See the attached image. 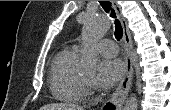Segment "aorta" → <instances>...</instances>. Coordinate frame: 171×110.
I'll return each instance as SVG.
<instances>
[{"label":"aorta","instance_id":"aorta-1","mask_svg":"<svg viewBox=\"0 0 171 110\" xmlns=\"http://www.w3.org/2000/svg\"><path fill=\"white\" fill-rule=\"evenodd\" d=\"M110 28V21L102 15L89 16L84 24L83 49L80 68L86 73H94L97 69L98 58L93 50V43L103 36ZM138 101L134 94L126 100L123 110H137Z\"/></svg>","mask_w":171,"mask_h":110}]
</instances>
